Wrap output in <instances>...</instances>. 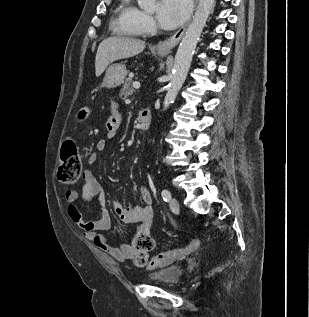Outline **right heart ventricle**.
<instances>
[{
    "instance_id": "right-heart-ventricle-1",
    "label": "right heart ventricle",
    "mask_w": 309,
    "mask_h": 317,
    "mask_svg": "<svg viewBox=\"0 0 309 317\" xmlns=\"http://www.w3.org/2000/svg\"><path fill=\"white\" fill-rule=\"evenodd\" d=\"M139 14L140 10L130 0H120L114 26L122 35L139 36L140 29L137 23Z\"/></svg>"
}]
</instances>
